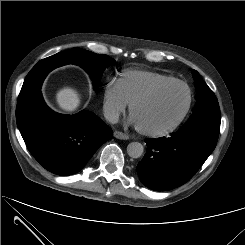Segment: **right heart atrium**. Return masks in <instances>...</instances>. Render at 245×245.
I'll return each instance as SVG.
<instances>
[{
    "label": "right heart atrium",
    "mask_w": 245,
    "mask_h": 245,
    "mask_svg": "<svg viewBox=\"0 0 245 245\" xmlns=\"http://www.w3.org/2000/svg\"><path fill=\"white\" fill-rule=\"evenodd\" d=\"M128 103L118 85V81L108 82L103 90L102 109L103 114L110 122H117L127 110Z\"/></svg>",
    "instance_id": "d8ad5b80"
}]
</instances>
